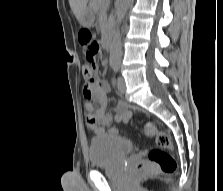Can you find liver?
Instances as JSON below:
<instances>
[{"label":"liver","instance_id":"6515ba94","mask_svg":"<svg viewBox=\"0 0 223 191\" xmlns=\"http://www.w3.org/2000/svg\"><path fill=\"white\" fill-rule=\"evenodd\" d=\"M88 0H69L70 7L77 18L80 21L81 15L87 8Z\"/></svg>","mask_w":223,"mask_h":191}]
</instances>
